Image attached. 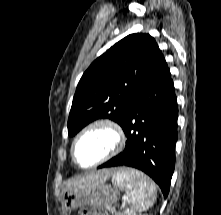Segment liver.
<instances>
[{
    "label": "liver",
    "mask_w": 221,
    "mask_h": 215,
    "mask_svg": "<svg viewBox=\"0 0 221 215\" xmlns=\"http://www.w3.org/2000/svg\"><path fill=\"white\" fill-rule=\"evenodd\" d=\"M115 172L111 169H104L97 172L85 174L68 180L65 183L67 189H82L103 183Z\"/></svg>",
    "instance_id": "liver-1"
}]
</instances>
